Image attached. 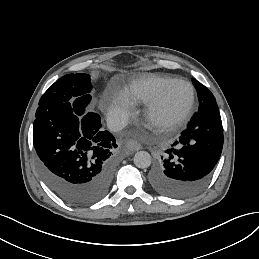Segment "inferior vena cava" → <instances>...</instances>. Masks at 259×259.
<instances>
[{"mask_svg": "<svg viewBox=\"0 0 259 259\" xmlns=\"http://www.w3.org/2000/svg\"><path fill=\"white\" fill-rule=\"evenodd\" d=\"M127 126V119L116 112L107 117V127L112 132H118Z\"/></svg>", "mask_w": 259, "mask_h": 259, "instance_id": "obj_1", "label": "inferior vena cava"}]
</instances>
